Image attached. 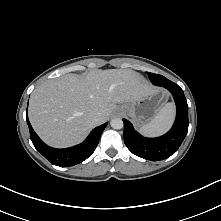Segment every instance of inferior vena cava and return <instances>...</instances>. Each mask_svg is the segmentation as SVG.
I'll list each match as a JSON object with an SVG mask.
<instances>
[{
  "label": "inferior vena cava",
  "mask_w": 221,
  "mask_h": 221,
  "mask_svg": "<svg viewBox=\"0 0 221 221\" xmlns=\"http://www.w3.org/2000/svg\"><path fill=\"white\" fill-rule=\"evenodd\" d=\"M94 120H95L96 122H100V121H101V113H96V114L94 115Z\"/></svg>",
  "instance_id": "obj_1"
}]
</instances>
